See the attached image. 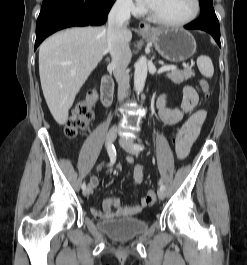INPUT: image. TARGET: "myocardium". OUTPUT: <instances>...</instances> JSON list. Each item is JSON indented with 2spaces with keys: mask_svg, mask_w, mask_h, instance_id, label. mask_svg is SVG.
Segmentation results:
<instances>
[{
  "mask_svg": "<svg viewBox=\"0 0 247 265\" xmlns=\"http://www.w3.org/2000/svg\"><path fill=\"white\" fill-rule=\"evenodd\" d=\"M194 2V11L193 13L187 17L184 20L181 21H170L167 19L162 18L161 16H159L158 14H156L151 8H148V15L150 16V18L165 27H172V28H178V27H183L186 26L192 22H194L198 16L200 15L201 12V1L200 0H193Z\"/></svg>",
  "mask_w": 247,
  "mask_h": 265,
  "instance_id": "myocardium-1",
  "label": "myocardium"
}]
</instances>
